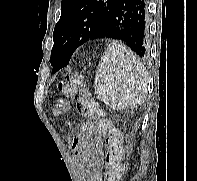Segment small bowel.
Wrapping results in <instances>:
<instances>
[{"mask_svg": "<svg viewBox=\"0 0 197 181\" xmlns=\"http://www.w3.org/2000/svg\"><path fill=\"white\" fill-rule=\"evenodd\" d=\"M68 139L74 155L81 162V181H101L102 159L100 153L102 142L95 125L90 122H83L78 134Z\"/></svg>", "mask_w": 197, "mask_h": 181, "instance_id": "c3829d8e", "label": "small bowel"}]
</instances>
